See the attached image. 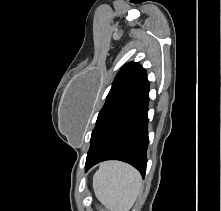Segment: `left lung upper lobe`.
I'll list each match as a JSON object with an SVG mask.
<instances>
[{
	"label": "left lung upper lobe",
	"mask_w": 221,
	"mask_h": 211,
	"mask_svg": "<svg viewBox=\"0 0 221 211\" xmlns=\"http://www.w3.org/2000/svg\"><path fill=\"white\" fill-rule=\"evenodd\" d=\"M147 81L146 70L139 63L131 62L121 68L98 114L96 126L91 134L90 147L112 119L141 92Z\"/></svg>",
	"instance_id": "1"
}]
</instances>
